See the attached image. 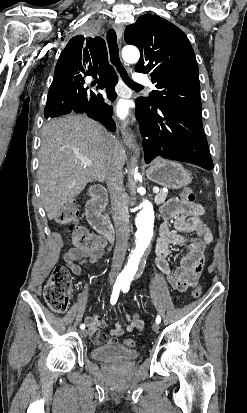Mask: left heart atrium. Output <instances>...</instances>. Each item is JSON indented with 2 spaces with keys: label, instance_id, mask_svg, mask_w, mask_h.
Returning a JSON list of instances; mask_svg holds the SVG:
<instances>
[{
  "label": "left heart atrium",
  "instance_id": "left-heart-atrium-1",
  "mask_svg": "<svg viewBox=\"0 0 247 413\" xmlns=\"http://www.w3.org/2000/svg\"><path fill=\"white\" fill-rule=\"evenodd\" d=\"M114 109H115L117 115L120 116L121 118H124L127 115V107H126L125 102H123V101H118L114 105Z\"/></svg>",
  "mask_w": 247,
  "mask_h": 413
}]
</instances>
